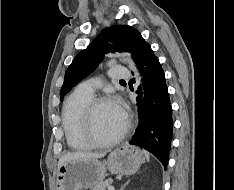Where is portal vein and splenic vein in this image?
Returning a JSON list of instances; mask_svg holds the SVG:
<instances>
[{"label": "portal vein and splenic vein", "mask_w": 234, "mask_h": 190, "mask_svg": "<svg viewBox=\"0 0 234 190\" xmlns=\"http://www.w3.org/2000/svg\"><path fill=\"white\" fill-rule=\"evenodd\" d=\"M108 190H115L114 186L108 187Z\"/></svg>", "instance_id": "1"}]
</instances>
